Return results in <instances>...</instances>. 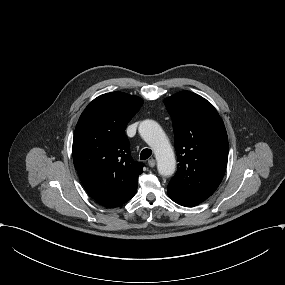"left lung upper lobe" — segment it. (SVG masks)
Here are the masks:
<instances>
[{
  "label": "left lung upper lobe",
  "instance_id": "obj_1",
  "mask_svg": "<svg viewBox=\"0 0 285 285\" xmlns=\"http://www.w3.org/2000/svg\"><path fill=\"white\" fill-rule=\"evenodd\" d=\"M172 118L178 170L168 188L202 202L219 186L227 166L228 138L216 109L201 96L181 91L164 100Z\"/></svg>",
  "mask_w": 285,
  "mask_h": 285
}]
</instances>
